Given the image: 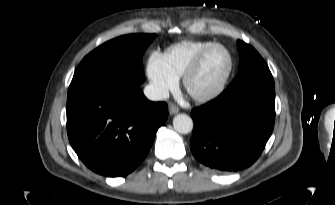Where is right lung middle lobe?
Here are the masks:
<instances>
[{"label":"right lung middle lobe","mask_w":335,"mask_h":205,"mask_svg":"<svg viewBox=\"0 0 335 205\" xmlns=\"http://www.w3.org/2000/svg\"><path fill=\"white\" fill-rule=\"evenodd\" d=\"M155 37L156 34H130L102 44L81 61L68 94L95 85L139 86L145 80L142 56Z\"/></svg>","instance_id":"right-lung-middle-lobe-1"}]
</instances>
